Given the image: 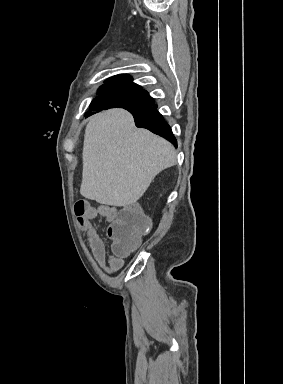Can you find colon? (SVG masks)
<instances>
[{
    "label": "colon",
    "instance_id": "1",
    "mask_svg": "<svg viewBox=\"0 0 283 384\" xmlns=\"http://www.w3.org/2000/svg\"><path fill=\"white\" fill-rule=\"evenodd\" d=\"M88 205L79 200L75 204V213L81 218L86 212ZM150 221L137 205L124 207L108 228V236L113 241V251L124 256L132 251L139 243L140 236L147 232Z\"/></svg>",
    "mask_w": 283,
    "mask_h": 384
}]
</instances>
